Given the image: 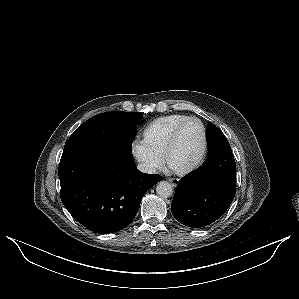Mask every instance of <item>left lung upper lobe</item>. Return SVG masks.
I'll use <instances>...</instances> for the list:
<instances>
[{
  "label": "left lung upper lobe",
  "mask_w": 299,
  "mask_h": 299,
  "mask_svg": "<svg viewBox=\"0 0 299 299\" xmlns=\"http://www.w3.org/2000/svg\"><path fill=\"white\" fill-rule=\"evenodd\" d=\"M207 139L208 146L210 147L212 146L217 149H231L229 142L222 131L211 123H209L207 127Z\"/></svg>",
  "instance_id": "obj_1"
}]
</instances>
